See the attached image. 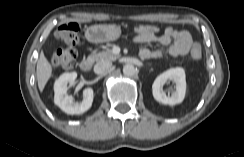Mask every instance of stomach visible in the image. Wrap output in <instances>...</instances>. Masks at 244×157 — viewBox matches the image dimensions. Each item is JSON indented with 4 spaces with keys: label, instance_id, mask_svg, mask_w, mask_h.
Listing matches in <instances>:
<instances>
[{
    "label": "stomach",
    "instance_id": "obj_1",
    "mask_svg": "<svg viewBox=\"0 0 244 157\" xmlns=\"http://www.w3.org/2000/svg\"><path fill=\"white\" fill-rule=\"evenodd\" d=\"M121 35L120 27L116 25H92L87 28L85 36L93 43L109 42L117 40Z\"/></svg>",
    "mask_w": 244,
    "mask_h": 157
}]
</instances>
